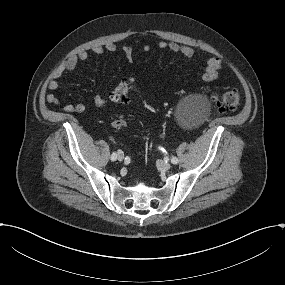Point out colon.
Returning a JSON list of instances; mask_svg holds the SVG:
<instances>
[{"label": "colon", "instance_id": "colon-1", "mask_svg": "<svg viewBox=\"0 0 285 285\" xmlns=\"http://www.w3.org/2000/svg\"><path fill=\"white\" fill-rule=\"evenodd\" d=\"M132 88V81L124 80L113 89L110 97L115 102H126ZM240 101L241 96L237 90H228L215 99V104L220 112L226 113L238 109ZM112 126L115 129H123L126 126V122L122 117L118 116L113 119Z\"/></svg>", "mask_w": 285, "mask_h": 285}]
</instances>
